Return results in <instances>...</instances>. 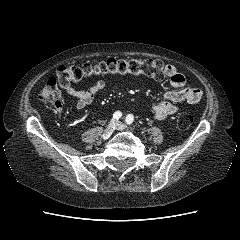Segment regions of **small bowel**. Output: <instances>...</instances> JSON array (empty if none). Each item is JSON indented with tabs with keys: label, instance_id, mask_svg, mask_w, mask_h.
<instances>
[{
	"label": "small bowel",
	"instance_id": "small-bowel-1",
	"mask_svg": "<svg viewBox=\"0 0 240 240\" xmlns=\"http://www.w3.org/2000/svg\"><path fill=\"white\" fill-rule=\"evenodd\" d=\"M166 75L172 89L165 93L164 100L152 106V113L158 120L166 119L176 113L180 103L195 104L201 100L203 95L200 89L187 82L186 77L175 66L167 65ZM106 86L107 82L101 79L85 90H78L72 86L63 89L69 96L77 100L76 108L81 110L90 105L95 96Z\"/></svg>",
	"mask_w": 240,
	"mask_h": 240
}]
</instances>
